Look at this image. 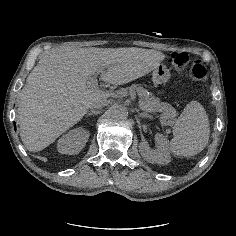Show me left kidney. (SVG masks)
Instances as JSON below:
<instances>
[{
	"label": "left kidney",
	"instance_id": "left-kidney-1",
	"mask_svg": "<svg viewBox=\"0 0 236 236\" xmlns=\"http://www.w3.org/2000/svg\"><path fill=\"white\" fill-rule=\"evenodd\" d=\"M155 140L158 143V148L152 150L147 142L139 144V152L141 156L149 163L167 164L170 162V149L166 138L161 134L155 135Z\"/></svg>",
	"mask_w": 236,
	"mask_h": 236
}]
</instances>
